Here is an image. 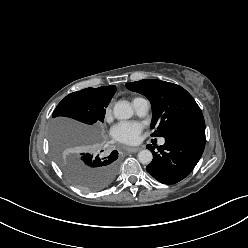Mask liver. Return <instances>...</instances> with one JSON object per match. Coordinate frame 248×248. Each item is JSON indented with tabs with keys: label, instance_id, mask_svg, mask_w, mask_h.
<instances>
[{
	"label": "liver",
	"instance_id": "obj_1",
	"mask_svg": "<svg viewBox=\"0 0 248 248\" xmlns=\"http://www.w3.org/2000/svg\"><path fill=\"white\" fill-rule=\"evenodd\" d=\"M55 129L62 135L77 133L79 135L90 136L92 137V140L96 139L94 138V131L92 128L69 120H57L55 122Z\"/></svg>",
	"mask_w": 248,
	"mask_h": 248
}]
</instances>
